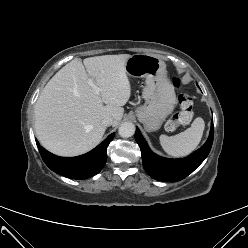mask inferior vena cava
Returning <instances> with one entry per match:
<instances>
[{
	"mask_svg": "<svg viewBox=\"0 0 248 248\" xmlns=\"http://www.w3.org/2000/svg\"><path fill=\"white\" fill-rule=\"evenodd\" d=\"M101 123L104 126H111L113 124V118L110 116H106L102 119Z\"/></svg>",
	"mask_w": 248,
	"mask_h": 248,
	"instance_id": "inferior-vena-cava-1",
	"label": "inferior vena cava"
}]
</instances>
